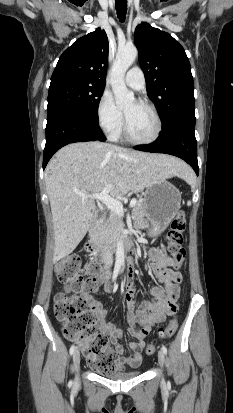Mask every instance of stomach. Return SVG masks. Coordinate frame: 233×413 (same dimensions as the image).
I'll use <instances>...</instances> for the list:
<instances>
[{
  "mask_svg": "<svg viewBox=\"0 0 233 413\" xmlns=\"http://www.w3.org/2000/svg\"><path fill=\"white\" fill-rule=\"evenodd\" d=\"M143 204L151 223V232H163L175 218L181 205L179 190L166 179L153 182L145 188Z\"/></svg>",
  "mask_w": 233,
  "mask_h": 413,
  "instance_id": "obj_1",
  "label": "stomach"
}]
</instances>
